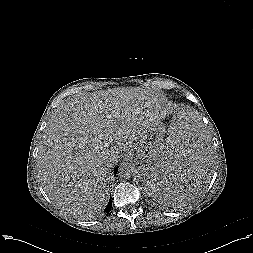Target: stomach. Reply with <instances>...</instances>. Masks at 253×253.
Listing matches in <instances>:
<instances>
[{
	"label": "stomach",
	"mask_w": 253,
	"mask_h": 253,
	"mask_svg": "<svg viewBox=\"0 0 253 253\" xmlns=\"http://www.w3.org/2000/svg\"><path fill=\"white\" fill-rule=\"evenodd\" d=\"M166 134L167 131L164 125L162 122H159L158 124L151 126L143 136L129 145V151L136 154V156L141 158L144 162V164L140 167V172L145 163L149 160V156L156 148L159 140Z\"/></svg>",
	"instance_id": "obj_1"
}]
</instances>
